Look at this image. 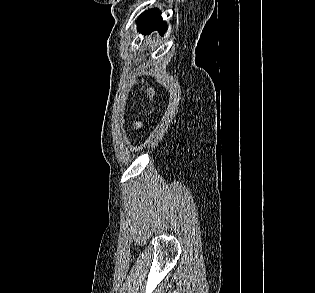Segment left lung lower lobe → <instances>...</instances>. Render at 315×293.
<instances>
[{
    "instance_id": "obj_1",
    "label": "left lung lower lobe",
    "mask_w": 315,
    "mask_h": 293,
    "mask_svg": "<svg viewBox=\"0 0 315 293\" xmlns=\"http://www.w3.org/2000/svg\"><path fill=\"white\" fill-rule=\"evenodd\" d=\"M139 31L143 32H151L153 29H159L160 33H164L166 31V24L162 20L160 16V12L157 9H151L142 13L138 20Z\"/></svg>"
}]
</instances>
